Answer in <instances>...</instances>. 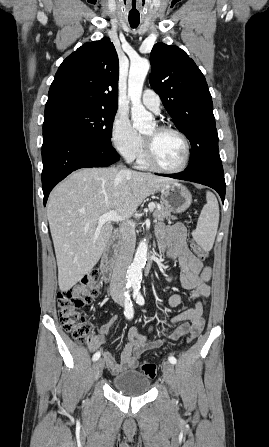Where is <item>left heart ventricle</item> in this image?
Wrapping results in <instances>:
<instances>
[{
  "label": "left heart ventricle",
  "mask_w": 269,
  "mask_h": 447,
  "mask_svg": "<svg viewBox=\"0 0 269 447\" xmlns=\"http://www.w3.org/2000/svg\"><path fill=\"white\" fill-rule=\"evenodd\" d=\"M143 135L152 144L155 157L162 165L174 168L182 163L185 143L178 134L161 131L155 125Z\"/></svg>",
  "instance_id": "left-heart-ventricle-1"
}]
</instances>
